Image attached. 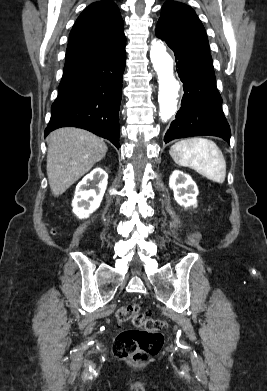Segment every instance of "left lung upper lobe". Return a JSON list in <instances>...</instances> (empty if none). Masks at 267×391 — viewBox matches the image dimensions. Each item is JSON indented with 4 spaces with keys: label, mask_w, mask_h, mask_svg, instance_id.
I'll list each match as a JSON object with an SVG mask.
<instances>
[{
    "label": "left lung upper lobe",
    "mask_w": 267,
    "mask_h": 391,
    "mask_svg": "<svg viewBox=\"0 0 267 391\" xmlns=\"http://www.w3.org/2000/svg\"><path fill=\"white\" fill-rule=\"evenodd\" d=\"M156 31L209 51L205 29L195 11L186 4L166 1Z\"/></svg>",
    "instance_id": "1"
}]
</instances>
